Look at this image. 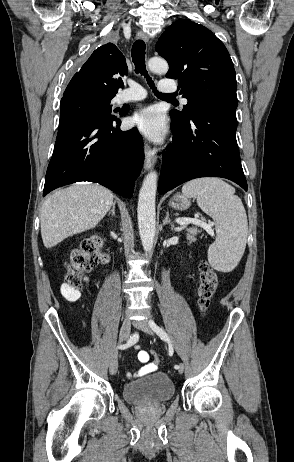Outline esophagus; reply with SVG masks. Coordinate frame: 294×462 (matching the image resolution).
<instances>
[{
  "instance_id": "obj_1",
  "label": "esophagus",
  "mask_w": 294,
  "mask_h": 462,
  "mask_svg": "<svg viewBox=\"0 0 294 462\" xmlns=\"http://www.w3.org/2000/svg\"><path fill=\"white\" fill-rule=\"evenodd\" d=\"M136 39L143 40L144 42H148L149 36L143 31H138L136 34ZM144 153H145L144 168L145 170H149L153 167L156 161V150L152 149L147 143H145Z\"/></svg>"
}]
</instances>
